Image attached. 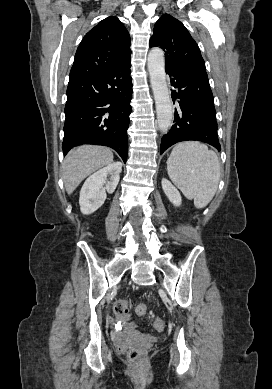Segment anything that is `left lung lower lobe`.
Masks as SVG:
<instances>
[{"instance_id":"0a47b994","label":"left lung lower lobe","mask_w":272,"mask_h":389,"mask_svg":"<svg viewBox=\"0 0 272 389\" xmlns=\"http://www.w3.org/2000/svg\"><path fill=\"white\" fill-rule=\"evenodd\" d=\"M173 102L178 99L174 125L162 137L161 153L175 143L196 140L208 143L218 150L216 112L213 94L205 71H169Z\"/></svg>"}]
</instances>
